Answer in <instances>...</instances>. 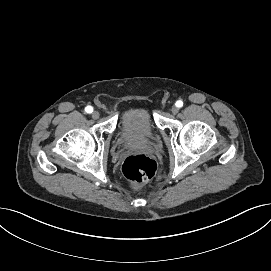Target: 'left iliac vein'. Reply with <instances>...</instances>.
Here are the masks:
<instances>
[{
	"label": "left iliac vein",
	"mask_w": 271,
	"mask_h": 271,
	"mask_svg": "<svg viewBox=\"0 0 271 271\" xmlns=\"http://www.w3.org/2000/svg\"><path fill=\"white\" fill-rule=\"evenodd\" d=\"M171 112H172V114H177L178 112H179V108L178 107H176V106H172L171 107Z\"/></svg>",
	"instance_id": "4c4485c4"
}]
</instances>
